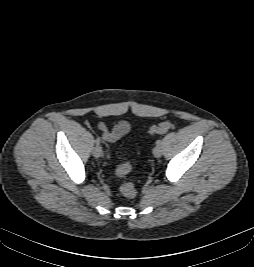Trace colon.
Here are the masks:
<instances>
[{
    "mask_svg": "<svg viewBox=\"0 0 254 267\" xmlns=\"http://www.w3.org/2000/svg\"><path fill=\"white\" fill-rule=\"evenodd\" d=\"M171 123L168 121L161 122L157 125H153L149 128L148 133L151 135L163 134L169 130ZM131 171V164L128 161L122 162L116 169V174L124 178ZM121 193L127 198L135 197L137 191L135 186L130 182H124L120 186Z\"/></svg>",
    "mask_w": 254,
    "mask_h": 267,
    "instance_id": "obj_1",
    "label": "colon"
}]
</instances>
